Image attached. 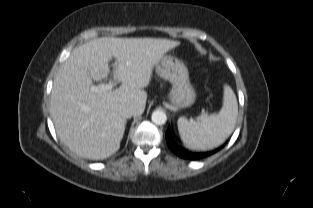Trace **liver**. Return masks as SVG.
<instances>
[{
    "instance_id": "obj_1",
    "label": "liver",
    "mask_w": 313,
    "mask_h": 208,
    "mask_svg": "<svg viewBox=\"0 0 313 208\" xmlns=\"http://www.w3.org/2000/svg\"><path fill=\"white\" fill-rule=\"evenodd\" d=\"M179 41L160 38L91 40L77 48L59 68L51 92V115L59 139L77 155L93 160L107 158L120 148L126 118L118 108L132 104L135 116L145 110L153 68ZM117 65L113 76L119 88L92 92L93 81L106 79L109 61Z\"/></svg>"
}]
</instances>
